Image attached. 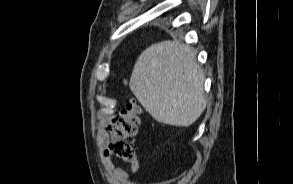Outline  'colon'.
Instances as JSON below:
<instances>
[{"instance_id":"5ec220e1","label":"colon","mask_w":293,"mask_h":184,"mask_svg":"<svg viewBox=\"0 0 293 184\" xmlns=\"http://www.w3.org/2000/svg\"><path fill=\"white\" fill-rule=\"evenodd\" d=\"M140 114V106L131 100L114 117L103 141L102 147L105 155L116 157L129 164L137 161L134 148L128 139L137 133Z\"/></svg>"}]
</instances>
